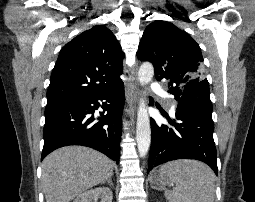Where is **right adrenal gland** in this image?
Returning <instances> with one entry per match:
<instances>
[{
    "mask_svg": "<svg viewBox=\"0 0 255 202\" xmlns=\"http://www.w3.org/2000/svg\"><path fill=\"white\" fill-rule=\"evenodd\" d=\"M105 183H108L110 187H113L112 176H110L106 181L102 182V184H105Z\"/></svg>",
    "mask_w": 255,
    "mask_h": 202,
    "instance_id": "obj_1",
    "label": "right adrenal gland"
}]
</instances>
